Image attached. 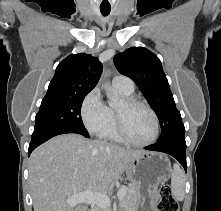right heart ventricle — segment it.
Wrapping results in <instances>:
<instances>
[{"label": "right heart ventricle", "instance_id": "obj_1", "mask_svg": "<svg viewBox=\"0 0 221 211\" xmlns=\"http://www.w3.org/2000/svg\"><path fill=\"white\" fill-rule=\"evenodd\" d=\"M118 91L125 98L132 97L133 95V92H126L120 89H118ZM109 109H110V114H111V124H110V127L107 129V131L101 137L106 140L113 141V142H123V139L120 137L118 133L115 110L111 108Z\"/></svg>", "mask_w": 221, "mask_h": 211}]
</instances>
